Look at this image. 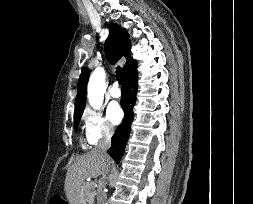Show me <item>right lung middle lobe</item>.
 <instances>
[{"instance_id": "dd1d6c3e", "label": "right lung middle lobe", "mask_w": 253, "mask_h": 204, "mask_svg": "<svg viewBox=\"0 0 253 204\" xmlns=\"http://www.w3.org/2000/svg\"><path fill=\"white\" fill-rule=\"evenodd\" d=\"M81 116H82V113L74 117V130L75 131H77Z\"/></svg>"}]
</instances>
